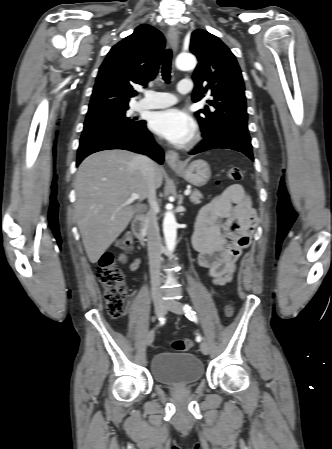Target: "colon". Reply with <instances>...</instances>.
<instances>
[{
	"label": "colon",
	"instance_id": "obj_1",
	"mask_svg": "<svg viewBox=\"0 0 332 449\" xmlns=\"http://www.w3.org/2000/svg\"><path fill=\"white\" fill-rule=\"evenodd\" d=\"M226 178L233 181H239L242 178V171L237 167L227 170ZM133 246V238L129 234H125L119 239L118 247L122 251H129ZM99 282L104 288V297L108 314L119 319L124 313L125 302V279L122 271L116 266L115 257L112 253L104 254L100 259L97 269ZM234 315L233 305L227 304L224 308V316L231 318ZM193 343L190 339H177L172 343V347L177 352H184L192 347Z\"/></svg>",
	"mask_w": 332,
	"mask_h": 449
}]
</instances>
